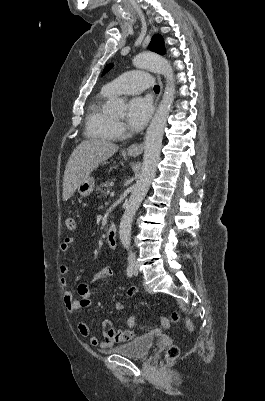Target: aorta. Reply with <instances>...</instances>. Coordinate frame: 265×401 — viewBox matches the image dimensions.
Returning <instances> with one entry per match:
<instances>
[{"label":"aorta","mask_w":265,"mask_h":401,"mask_svg":"<svg viewBox=\"0 0 265 401\" xmlns=\"http://www.w3.org/2000/svg\"><path fill=\"white\" fill-rule=\"evenodd\" d=\"M133 64L138 66V68H150L152 72L164 74L166 86L162 100L147 128L141 170L138 174L136 184L132 186L129 203L120 221L119 239L127 251L130 249L131 227L135 213L138 211L156 174L160 160L164 128L167 124V118L175 96L174 70L167 58H163V56L155 54V52H142V54L135 56Z\"/></svg>","instance_id":"1"}]
</instances>
